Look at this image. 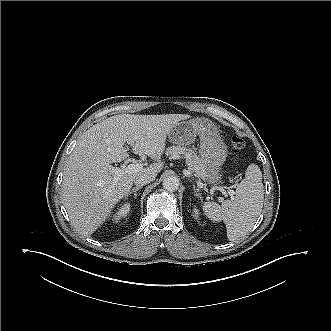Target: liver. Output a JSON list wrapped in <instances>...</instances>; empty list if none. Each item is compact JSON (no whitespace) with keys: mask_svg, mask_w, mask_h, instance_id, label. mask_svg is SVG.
Segmentation results:
<instances>
[{"mask_svg":"<svg viewBox=\"0 0 331 331\" xmlns=\"http://www.w3.org/2000/svg\"><path fill=\"white\" fill-rule=\"evenodd\" d=\"M184 114L132 115L108 118L91 127L77 142L63 173L62 196L68 214L85 235L107 221L116 205L130 193L140 175L153 178L162 170L167 136ZM154 163L138 173L116 176L113 163L123 161L129 148Z\"/></svg>","mask_w":331,"mask_h":331,"instance_id":"1","label":"liver"}]
</instances>
